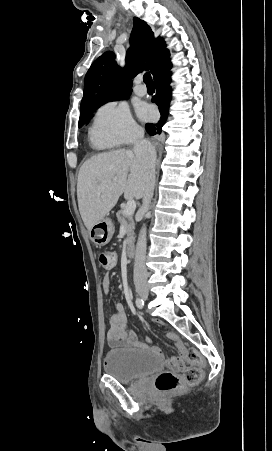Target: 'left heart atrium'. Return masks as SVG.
<instances>
[{
	"label": "left heart atrium",
	"instance_id": "obj_1",
	"mask_svg": "<svg viewBox=\"0 0 272 451\" xmlns=\"http://www.w3.org/2000/svg\"><path fill=\"white\" fill-rule=\"evenodd\" d=\"M153 115V111L151 109H146L144 111V117L145 118H150Z\"/></svg>",
	"mask_w": 272,
	"mask_h": 451
}]
</instances>
